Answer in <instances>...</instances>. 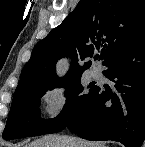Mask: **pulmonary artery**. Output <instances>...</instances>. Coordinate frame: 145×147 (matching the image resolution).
Instances as JSON below:
<instances>
[{
	"label": "pulmonary artery",
	"mask_w": 145,
	"mask_h": 147,
	"mask_svg": "<svg viewBox=\"0 0 145 147\" xmlns=\"http://www.w3.org/2000/svg\"><path fill=\"white\" fill-rule=\"evenodd\" d=\"M91 76L92 77H98L100 76V70L97 67H94L91 69Z\"/></svg>",
	"instance_id": "1"
}]
</instances>
